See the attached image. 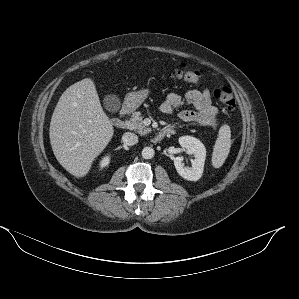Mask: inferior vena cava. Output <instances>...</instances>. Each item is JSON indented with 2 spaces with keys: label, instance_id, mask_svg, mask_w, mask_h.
<instances>
[{
  "label": "inferior vena cava",
  "instance_id": "1",
  "mask_svg": "<svg viewBox=\"0 0 299 299\" xmlns=\"http://www.w3.org/2000/svg\"><path fill=\"white\" fill-rule=\"evenodd\" d=\"M122 141L124 144L132 146L138 143V136L131 132H126L122 136Z\"/></svg>",
  "mask_w": 299,
  "mask_h": 299
}]
</instances>
